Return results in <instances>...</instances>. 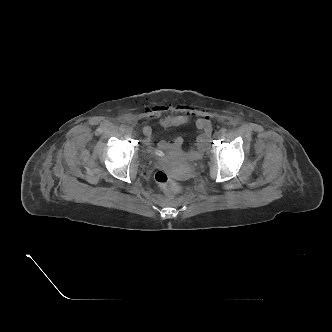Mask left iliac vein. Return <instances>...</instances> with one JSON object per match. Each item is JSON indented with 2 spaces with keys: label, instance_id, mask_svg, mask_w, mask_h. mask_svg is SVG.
<instances>
[{
  "label": "left iliac vein",
  "instance_id": "4c4485c4",
  "mask_svg": "<svg viewBox=\"0 0 332 332\" xmlns=\"http://www.w3.org/2000/svg\"><path fill=\"white\" fill-rule=\"evenodd\" d=\"M221 135H222V133L220 131H217L214 136H215V138H219V137H221Z\"/></svg>",
  "mask_w": 332,
  "mask_h": 332
}]
</instances>
